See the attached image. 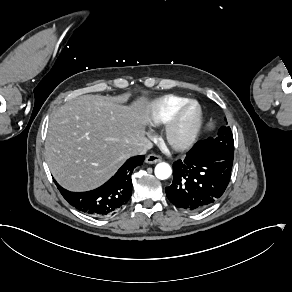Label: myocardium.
Returning a JSON list of instances; mask_svg holds the SVG:
<instances>
[{"label":"myocardium","instance_id":"myocardium-1","mask_svg":"<svg viewBox=\"0 0 292 292\" xmlns=\"http://www.w3.org/2000/svg\"><path fill=\"white\" fill-rule=\"evenodd\" d=\"M192 110V117L187 129L178 133L183 117ZM202 123L201 106L194 100H188L177 108L164 123L163 137L166 142L175 149L183 150L188 148L195 141Z\"/></svg>","mask_w":292,"mask_h":292}]
</instances>
